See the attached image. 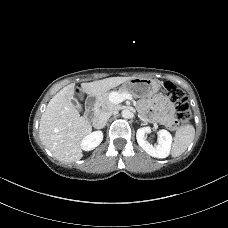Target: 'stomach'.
<instances>
[{
  "mask_svg": "<svg viewBox=\"0 0 228 228\" xmlns=\"http://www.w3.org/2000/svg\"><path fill=\"white\" fill-rule=\"evenodd\" d=\"M122 88L126 89L135 97H149L158 93L161 86L157 80L134 77L123 83Z\"/></svg>",
  "mask_w": 228,
  "mask_h": 228,
  "instance_id": "1",
  "label": "stomach"
}]
</instances>
